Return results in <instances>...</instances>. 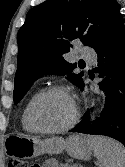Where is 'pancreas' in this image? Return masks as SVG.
<instances>
[{"instance_id":"pancreas-1","label":"pancreas","mask_w":125,"mask_h":167,"mask_svg":"<svg viewBox=\"0 0 125 167\" xmlns=\"http://www.w3.org/2000/svg\"><path fill=\"white\" fill-rule=\"evenodd\" d=\"M61 167H72V166H69L68 164H62Z\"/></svg>"}]
</instances>
